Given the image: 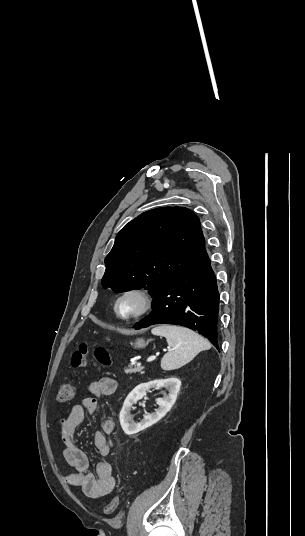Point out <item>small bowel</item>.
I'll return each mask as SVG.
<instances>
[{"instance_id":"obj_1","label":"small bowel","mask_w":305,"mask_h":536,"mask_svg":"<svg viewBox=\"0 0 305 536\" xmlns=\"http://www.w3.org/2000/svg\"><path fill=\"white\" fill-rule=\"evenodd\" d=\"M117 382L112 377H103L90 383L87 391L90 396L75 404L68 415L61 420V439L64 444L63 457L73 469L67 476V483L82 489L92 499H101L110 494L116 485L111 463L105 459L112 452L113 443L110 438L115 429L114 420L106 417L101 421V430L92 437L94 449L102 457L96 462V475L89 472L86 454L77 446L75 434L85 418V412L94 413L98 406V398L113 394Z\"/></svg>"}]
</instances>
